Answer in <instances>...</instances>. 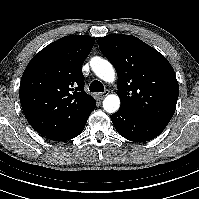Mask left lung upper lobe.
I'll return each mask as SVG.
<instances>
[{"label": "left lung upper lobe", "mask_w": 199, "mask_h": 199, "mask_svg": "<svg viewBox=\"0 0 199 199\" xmlns=\"http://www.w3.org/2000/svg\"><path fill=\"white\" fill-rule=\"evenodd\" d=\"M98 44L117 70L121 107L167 126L179 95L176 75L168 60L132 35L110 34L99 37Z\"/></svg>", "instance_id": "left-lung-upper-lobe-1"}]
</instances>
